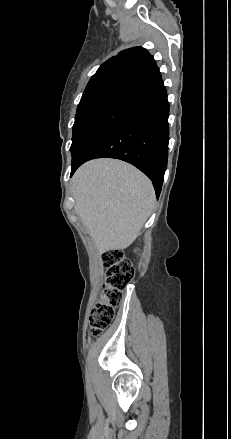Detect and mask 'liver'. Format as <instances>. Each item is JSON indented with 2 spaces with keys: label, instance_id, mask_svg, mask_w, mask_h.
Masks as SVG:
<instances>
[{
  "label": "liver",
  "instance_id": "1",
  "mask_svg": "<svg viewBox=\"0 0 231 439\" xmlns=\"http://www.w3.org/2000/svg\"><path fill=\"white\" fill-rule=\"evenodd\" d=\"M74 209L99 253L130 245L152 214L151 181L132 165L116 159L83 164L73 177Z\"/></svg>",
  "mask_w": 231,
  "mask_h": 439
}]
</instances>
